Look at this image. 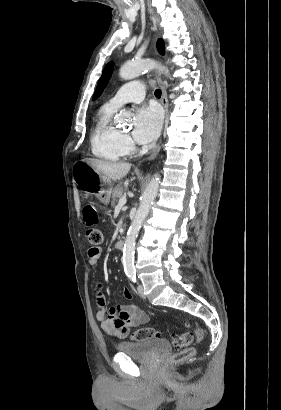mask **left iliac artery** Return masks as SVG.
<instances>
[{
    "instance_id": "obj_1",
    "label": "left iliac artery",
    "mask_w": 281,
    "mask_h": 410,
    "mask_svg": "<svg viewBox=\"0 0 281 410\" xmlns=\"http://www.w3.org/2000/svg\"><path fill=\"white\" fill-rule=\"evenodd\" d=\"M128 276L134 283L136 282V274L135 273H130Z\"/></svg>"
}]
</instances>
